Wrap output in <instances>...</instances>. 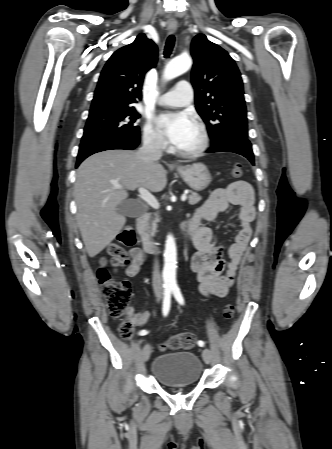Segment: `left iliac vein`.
I'll use <instances>...</instances> for the list:
<instances>
[{"instance_id": "4c4485c4", "label": "left iliac vein", "mask_w": 332, "mask_h": 449, "mask_svg": "<svg viewBox=\"0 0 332 449\" xmlns=\"http://www.w3.org/2000/svg\"><path fill=\"white\" fill-rule=\"evenodd\" d=\"M203 359L205 363L211 364L212 362V353L209 349L205 348L202 352Z\"/></svg>"}]
</instances>
